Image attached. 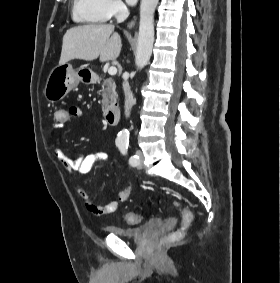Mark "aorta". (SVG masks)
<instances>
[{
    "label": "aorta",
    "mask_w": 280,
    "mask_h": 283,
    "mask_svg": "<svg viewBox=\"0 0 280 283\" xmlns=\"http://www.w3.org/2000/svg\"><path fill=\"white\" fill-rule=\"evenodd\" d=\"M159 0H141L140 25L135 64L138 70L144 68L151 57L154 43V13ZM128 130L124 129L117 136V143H127Z\"/></svg>",
    "instance_id": "obj_1"
}]
</instances>
